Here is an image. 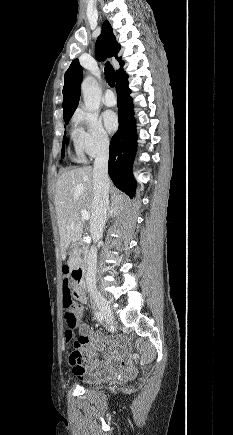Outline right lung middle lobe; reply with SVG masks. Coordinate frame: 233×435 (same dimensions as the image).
<instances>
[{"mask_svg":"<svg viewBox=\"0 0 233 435\" xmlns=\"http://www.w3.org/2000/svg\"><path fill=\"white\" fill-rule=\"evenodd\" d=\"M70 118H71V116L64 117L65 124H68ZM64 146H65V134H64V138H63V145H62V151H61L62 158L64 157Z\"/></svg>","mask_w":233,"mask_h":435,"instance_id":"obj_1","label":"right lung middle lobe"}]
</instances>
